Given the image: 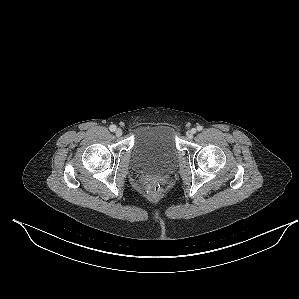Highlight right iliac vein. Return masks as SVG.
Segmentation results:
<instances>
[{"mask_svg":"<svg viewBox=\"0 0 299 299\" xmlns=\"http://www.w3.org/2000/svg\"><path fill=\"white\" fill-rule=\"evenodd\" d=\"M122 130L120 128L116 129L115 134L117 137H120L122 135Z\"/></svg>","mask_w":299,"mask_h":299,"instance_id":"right-iliac-vein-1","label":"right iliac vein"}]
</instances>
